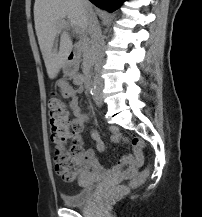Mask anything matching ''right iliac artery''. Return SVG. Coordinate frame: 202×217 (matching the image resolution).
<instances>
[{"instance_id":"right-iliac-artery-1","label":"right iliac artery","mask_w":202,"mask_h":217,"mask_svg":"<svg viewBox=\"0 0 202 217\" xmlns=\"http://www.w3.org/2000/svg\"><path fill=\"white\" fill-rule=\"evenodd\" d=\"M90 93H91V95L95 98V94H96V87L95 86H91L90 87Z\"/></svg>"}]
</instances>
